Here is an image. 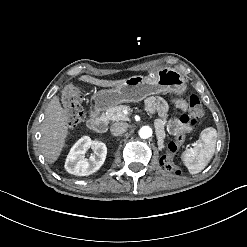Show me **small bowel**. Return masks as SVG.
I'll return each instance as SVG.
<instances>
[{
	"mask_svg": "<svg viewBox=\"0 0 247 247\" xmlns=\"http://www.w3.org/2000/svg\"><path fill=\"white\" fill-rule=\"evenodd\" d=\"M173 104L177 108H179L182 112H185L187 110V103L184 100H182V99H175V100H173ZM145 106H146L147 110L149 112H151V113L158 114L161 117H166L167 116V112H168V101L165 100L162 97H159V96H151V97L147 98L146 101H145ZM177 123H178V121H173L170 124V127L173 124H177ZM171 129H172V127H171Z\"/></svg>",
	"mask_w": 247,
	"mask_h": 247,
	"instance_id": "1",
	"label": "small bowel"
}]
</instances>
